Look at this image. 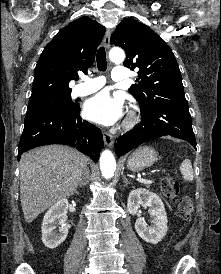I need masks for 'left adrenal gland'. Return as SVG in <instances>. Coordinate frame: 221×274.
<instances>
[{
	"mask_svg": "<svg viewBox=\"0 0 221 274\" xmlns=\"http://www.w3.org/2000/svg\"><path fill=\"white\" fill-rule=\"evenodd\" d=\"M123 183H124V187H126L128 184H130V181L127 179V177L125 175H123Z\"/></svg>",
	"mask_w": 221,
	"mask_h": 274,
	"instance_id": "1",
	"label": "left adrenal gland"
}]
</instances>
